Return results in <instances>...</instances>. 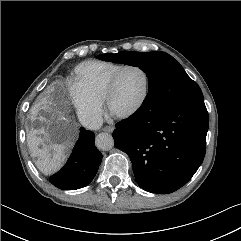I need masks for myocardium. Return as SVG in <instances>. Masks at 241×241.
<instances>
[{
  "instance_id": "1",
  "label": "myocardium",
  "mask_w": 241,
  "mask_h": 241,
  "mask_svg": "<svg viewBox=\"0 0 241 241\" xmlns=\"http://www.w3.org/2000/svg\"><path fill=\"white\" fill-rule=\"evenodd\" d=\"M129 68L139 69L144 74V77H145L144 90H143L141 98L139 99V101L137 102V104L134 107H132L130 110L122 112V113H115L112 110V107H111V99H112V96L115 92V88H116V84H117L119 76L122 74L123 71H125L126 69H129ZM150 83H151L150 75H149L148 71L143 66H141L139 64H135V63L124 64L120 69H118L114 73V75L111 77V79L108 83V86H107V89H106V92H105V97H104V102H105V105H106L107 109L111 113H113L115 116H117L118 118H121V119H127V118H130V117H133L145 105V103L148 99V96H149V92H150Z\"/></svg>"
}]
</instances>
